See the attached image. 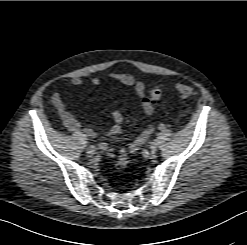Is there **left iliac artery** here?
I'll return each mask as SVG.
<instances>
[{"label":"left iliac artery","mask_w":247,"mask_h":245,"mask_svg":"<svg viewBox=\"0 0 247 245\" xmlns=\"http://www.w3.org/2000/svg\"><path fill=\"white\" fill-rule=\"evenodd\" d=\"M159 129H161V130L165 129V125L164 124H160Z\"/></svg>","instance_id":"44dca946"}]
</instances>
